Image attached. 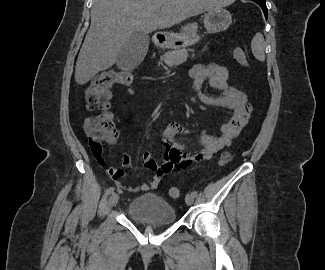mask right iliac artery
<instances>
[{
	"mask_svg": "<svg viewBox=\"0 0 325 270\" xmlns=\"http://www.w3.org/2000/svg\"><path fill=\"white\" fill-rule=\"evenodd\" d=\"M114 187H110V188H108L107 190H106V192H105V194L106 195H110V194H112L113 192H114Z\"/></svg>",
	"mask_w": 325,
	"mask_h": 270,
	"instance_id": "obj_1",
	"label": "right iliac artery"
}]
</instances>
